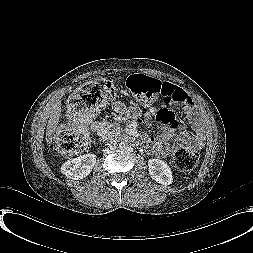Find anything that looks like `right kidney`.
<instances>
[{
	"label": "right kidney",
	"mask_w": 253,
	"mask_h": 253,
	"mask_svg": "<svg viewBox=\"0 0 253 253\" xmlns=\"http://www.w3.org/2000/svg\"><path fill=\"white\" fill-rule=\"evenodd\" d=\"M96 163V155L84 154L66 161L60 168L66 177L79 180L87 177Z\"/></svg>",
	"instance_id": "1"
}]
</instances>
